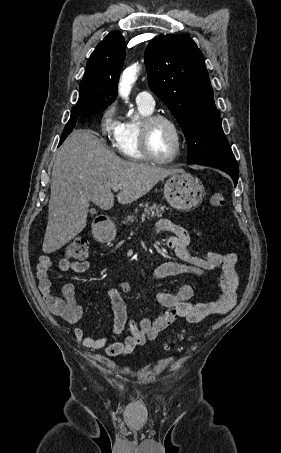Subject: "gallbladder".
Masks as SVG:
<instances>
[{"instance_id":"1","label":"gallbladder","mask_w":281,"mask_h":453,"mask_svg":"<svg viewBox=\"0 0 281 453\" xmlns=\"http://www.w3.org/2000/svg\"><path fill=\"white\" fill-rule=\"evenodd\" d=\"M90 212L91 214H96L97 210H95V208H91Z\"/></svg>"}]
</instances>
